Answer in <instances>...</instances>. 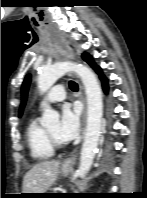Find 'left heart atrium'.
I'll list each match as a JSON object with an SVG mask.
<instances>
[{"label":"left heart atrium","mask_w":147,"mask_h":198,"mask_svg":"<svg viewBox=\"0 0 147 198\" xmlns=\"http://www.w3.org/2000/svg\"><path fill=\"white\" fill-rule=\"evenodd\" d=\"M79 116L70 107L65 106L61 113V119L57 128V138L60 142H69L78 133Z\"/></svg>","instance_id":"obj_1"}]
</instances>
